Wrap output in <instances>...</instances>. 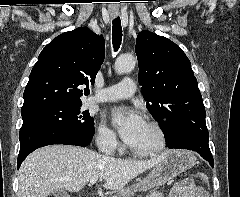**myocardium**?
<instances>
[{
	"instance_id": "1",
	"label": "myocardium",
	"mask_w": 240,
	"mask_h": 197,
	"mask_svg": "<svg viewBox=\"0 0 240 197\" xmlns=\"http://www.w3.org/2000/svg\"><path fill=\"white\" fill-rule=\"evenodd\" d=\"M146 124L154 131L156 142L152 147L134 148L129 146V151L135 156H152L160 153L166 145V134L163 127L155 120L149 119Z\"/></svg>"
}]
</instances>
